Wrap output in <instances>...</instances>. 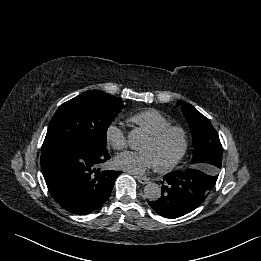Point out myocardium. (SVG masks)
Returning <instances> with one entry per match:
<instances>
[{
    "label": "myocardium",
    "instance_id": "obj_1",
    "mask_svg": "<svg viewBox=\"0 0 261 261\" xmlns=\"http://www.w3.org/2000/svg\"><path fill=\"white\" fill-rule=\"evenodd\" d=\"M177 134L180 138L181 146L178 154L169 162L157 165V169L160 172H167L175 168L186 156L189 147V138L187 131L178 125H169L162 130L149 135V139L155 143H160L165 140L168 136Z\"/></svg>",
    "mask_w": 261,
    "mask_h": 261
}]
</instances>
